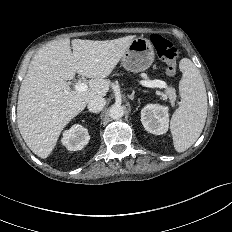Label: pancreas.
<instances>
[{
	"label": "pancreas",
	"instance_id": "obj_1",
	"mask_svg": "<svg viewBox=\"0 0 232 232\" xmlns=\"http://www.w3.org/2000/svg\"><path fill=\"white\" fill-rule=\"evenodd\" d=\"M166 95L169 98L170 102L173 104L176 100V92L172 87H166Z\"/></svg>",
	"mask_w": 232,
	"mask_h": 232
}]
</instances>
